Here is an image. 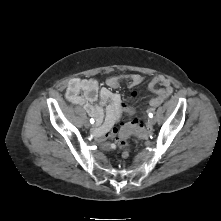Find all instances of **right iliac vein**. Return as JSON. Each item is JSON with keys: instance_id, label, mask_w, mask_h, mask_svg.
I'll use <instances>...</instances> for the list:
<instances>
[{"instance_id": "right-iliac-vein-1", "label": "right iliac vein", "mask_w": 221, "mask_h": 221, "mask_svg": "<svg viewBox=\"0 0 221 221\" xmlns=\"http://www.w3.org/2000/svg\"><path fill=\"white\" fill-rule=\"evenodd\" d=\"M84 126H85L86 128H90L91 125H90V123H89L88 121H85V122H84Z\"/></svg>"}]
</instances>
